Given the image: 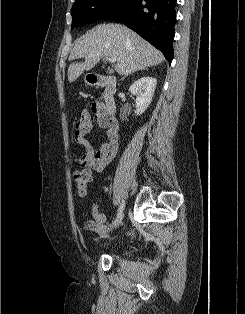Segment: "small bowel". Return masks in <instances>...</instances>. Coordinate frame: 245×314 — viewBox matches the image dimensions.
Returning a JSON list of instances; mask_svg holds the SVG:
<instances>
[{"label":"small bowel","instance_id":"c3829d8e","mask_svg":"<svg viewBox=\"0 0 245 314\" xmlns=\"http://www.w3.org/2000/svg\"><path fill=\"white\" fill-rule=\"evenodd\" d=\"M92 115H94L97 124L106 130V140L98 150H95L85 138L86 134L91 130ZM73 138L85 150L84 155L80 158V162L94 172H101L117 155L118 126L115 121H111L105 115L103 104L99 101L91 102L82 110ZM94 220L96 227L89 230L88 233L90 235L99 234L104 236L108 227L107 217L95 210Z\"/></svg>","mask_w":245,"mask_h":314}]
</instances>
